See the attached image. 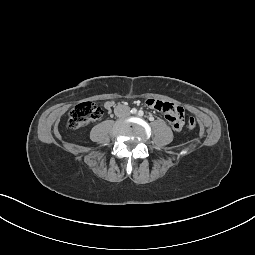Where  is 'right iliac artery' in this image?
Segmentation results:
<instances>
[{"label":"right iliac artery","mask_w":255,"mask_h":255,"mask_svg":"<svg viewBox=\"0 0 255 255\" xmlns=\"http://www.w3.org/2000/svg\"><path fill=\"white\" fill-rule=\"evenodd\" d=\"M131 113H132V114H136V113H137V109H136V108H133V109L131 110Z\"/></svg>","instance_id":"1"}]
</instances>
